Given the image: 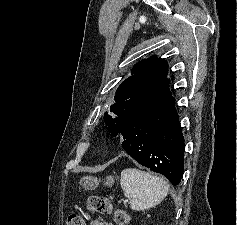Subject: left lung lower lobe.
I'll list each match as a JSON object with an SVG mask.
<instances>
[{
    "mask_svg": "<svg viewBox=\"0 0 237 225\" xmlns=\"http://www.w3.org/2000/svg\"><path fill=\"white\" fill-rule=\"evenodd\" d=\"M122 147L141 165L178 185L183 177L184 138L174 98L146 105L130 113L117 134Z\"/></svg>",
    "mask_w": 237,
    "mask_h": 225,
    "instance_id": "obj_1",
    "label": "left lung lower lobe"
}]
</instances>
